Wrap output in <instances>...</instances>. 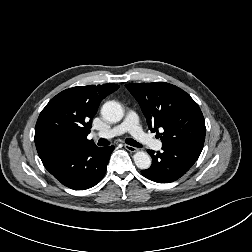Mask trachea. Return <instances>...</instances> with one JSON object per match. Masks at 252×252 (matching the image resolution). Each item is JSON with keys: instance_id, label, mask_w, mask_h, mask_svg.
I'll list each match as a JSON object with an SVG mask.
<instances>
[{"instance_id": "obj_1", "label": "trachea", "mask_w": 252, "mask_h": 252, "mask_svg": "<svg viewBox=\"0 0 252 252\" xmlns=\"http://www.w3.org/2000/svg\"><path fill=\"white\" fill-rule=\"evenodd\" d=\"M126 143H127L128 145L133 146V147H142L141 144H139L138 142H136V141H135L134 139H132V138L126 139ZM109 144H110V142H109L108 140H106V139L100 138V139L98 140V145H99V146H107V145H109Z\"/></svg>"}]
</instances>
